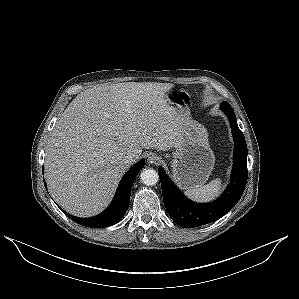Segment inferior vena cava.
Returning <instances> with one entry per match:
<instances>
[{
    "label": "inferior vena cava",
    "instance_id": "602c4592",
    "mask_svg": "<svg viewBox=\"0 0 299 299\" xmlns=\"http://www.w3.org/2000/svg\"><path fill=\"white\" fill-rule=\"evenodd\" d=\"M135 159H136V155L135 153L133 152H128L126 153V155H124L123 157V162L126 164V165H131L135 162Z\"/></svg>",
    "mask_w": 299,
    "mask_h": 299
}]
</instances>
